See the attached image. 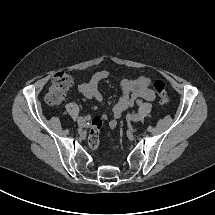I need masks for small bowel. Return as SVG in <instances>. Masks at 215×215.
<instances>
[{
    "label": "small bowel",
    "mask_w": 215,
    "mask_h": 215,
    "mask_svg": "<svg viewBox=\"0 0 215 215\" xmlns=\"http://www.w3.org/2000/svg\"><path fill=\"white\" fill-rule=\"evenodd\" d=\"M108 76L109 73L106 70L97 71L91 76L89 81L79 84L78 91L84 97L93 99L101 104L103 97L99 91V84L107 79ZM149 84L150 80L144 76L134 79H123L120 82L122 95L113 106L109 115L104 116V118H107L108 116L114 117V119L109 122L110 128L114 129L117 127L116 119H118L126 109L133 105L135 99L142 98L147 101L155 100V93L149 88Z\"/></svg>",
    "instance_id": "obj_1"
}]
</instances>
